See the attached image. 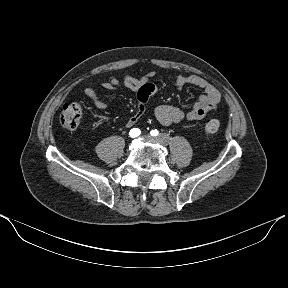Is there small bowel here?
Instances as JSON below:
<instances>
[{"label": "small bowel", "instance_id": "small-bowel-1", "mask_svg": "<svg viewBox=\"0 0 288 288\" xmlns=\"http://www.w3.org/2000/svg\"><path fill=\"white\" fill-rule=\"evenodd\" d=\"M154 77L155 72H149L141 78H135L129 74H124L122 80L112 77L108 81L101 83V86L108 90H114L120 86H124L137 94V110L125 122L127 128L134 127L141 120L146 112V105L149 98L158 92V88L151 82V79ZM187 85L196 86L202 89L204 94L198 97L193 107L188 112H184L178 107L171 105L157 106L154 113L162 126L168 127L180 123L184 119L189 121L202 120L208 113L217 108L221 100V95L211 83L196 75L179 74L175 79V87L177 89H182ZM85 94L98 109L102 111L109 110L108 105L98 98L95 88H87Z\"/></svg>", "mask_w": 288, "mask_h": 288}]
</instances>
